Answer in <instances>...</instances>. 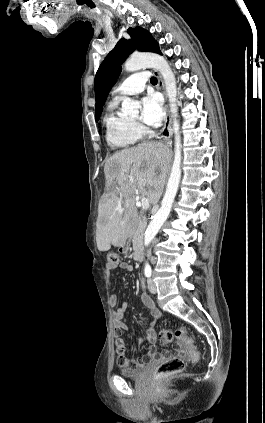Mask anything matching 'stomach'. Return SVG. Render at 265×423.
Returning a JSON list of instances; mask_svg holds the SVG:
<instances>
[{
	"instance_id": "obj_1",
	"label": "stomach",
	"mask_w": 265,
	"mask_h": 423,
	"mask_svg": "<svg viewBox=\"0 0 265 423\" xmlns=\"http://www.w3.org/2000/svg\"><path fill=\"white\" fill-rule=\"evenodd\" d=\"M125 241L120 242L119 246H124Z\"/></svg>"
}]
</instances>
